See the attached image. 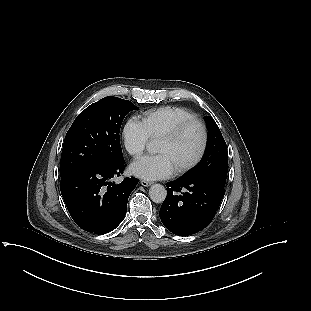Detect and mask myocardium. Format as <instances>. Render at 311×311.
<instances>
[{"mask_svg":"<svg viewBox=\"0 0 311 311\" xmlns=\"http://www.w3.org/2000/svg\"><path fill=\"white\" fill-rule=\"evenodd\" d=\"M193 126L198 127L200 130V145H199L198 151L192 159H190L188 162L180 165L179 167L175 169L176 174H181V173H184L190 170L191 168L196 166L200 162L202 157L204 156V153L207 147V139H208L206 126L201 120L193 118V119L185 120V121L178 123L172 129L165 132L159 137V140L172 142V141L177 140L187 129Z\"/></svg>","mask_w":311,"mask_h":311,"instance_id":"1","label":"myocardium"}]
</instances>
